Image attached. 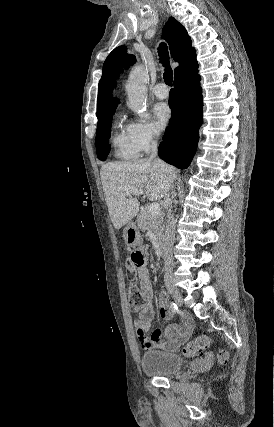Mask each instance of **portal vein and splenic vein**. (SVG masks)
<instances>
[{
	"label": "portal vein and splenic vein",
	"instance_id": "18ae733b",
	"mask_svg": "<svg viewBox=\"0 0 274 427\" xmlns=\"http://www.w3.org/2000/svg\"><path fill=\"white\" fill-rule=\"evenodd\" d=\"M143 194L144 190H136V188H133V190H126L125 192V196H143ZM148 212H150L151 215L159 214V204H150V206H148Z\"/></svg>",
	"mask_w": 274,
	"mask_h": 427
}]
</instances>
